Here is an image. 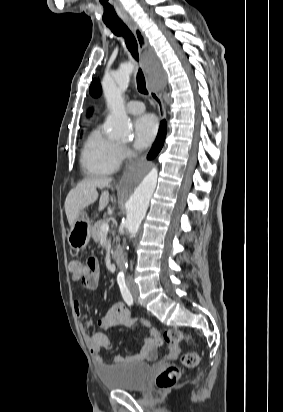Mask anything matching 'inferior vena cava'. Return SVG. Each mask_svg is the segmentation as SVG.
<instances>
[{"label":"inferior vena cava","mask_w":283,"mask_h":412,"mask_svg":"<svg viewBox=\"0 0 283 412\" xmlns=\"http://www.w3.org/2000/svg\"><path fill=\"white\" fill-rule=\"evenodd\" d=\"M128 286H133V279L131 276L128 277Z\"/></svg>","instance_id":"602c4592"}]
</instances>
